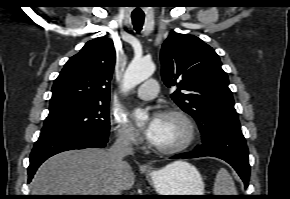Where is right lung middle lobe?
Listing matches in <instances>:
<instances>
[{"label":"right lung middle lobe","instance_id":"obj_1","mask_svg":"<svg viewBox=\"0 0 290 199\" xmlns=\"http://www.w3.org/2000/svg\"><path fill=\"white\" fill-rule=\"evenodd\" d=\"M108 103L75 104L50 111L39 140L78 133L108 134Z\"/></svg>","mask_w":290,"mask_h":199}]
</instances>
